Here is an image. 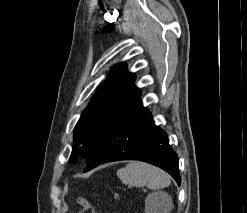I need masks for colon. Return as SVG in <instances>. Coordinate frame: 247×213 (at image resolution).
Here are the masks:
<instances>
[{
	"instance_id": "colon-1",
	"label": "colon",
	"mask_w": 247,
	"mask_h": 213,
	"mask_svg": "<svg viewBox=\"0 0 247 213\" xmlns=\"http://www.w3.org/2000/svg\"><path fill=\"white\" fill-rule=\"evenodd\" d=\"M79 203L81 205L80 213H96L94 207L88 200L81 198Z\"/></svg>"
}]
</instances>
